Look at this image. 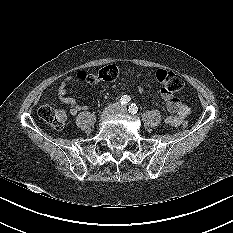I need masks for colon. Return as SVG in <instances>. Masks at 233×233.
<instances>
[{
	"mask_svg": "<svg viewBox=\"0 0 233 233\" xmlns=\"http://www.w3.org/2000/svg\"><path fill=\"white\" fill-rule=\"evenodd\" d=\"M118 76L119 68L115 64L103 66L95 73H78V77L81 80H84L91 85H96L99 82H112L115 81ZM155 78L160 85L161 90L170 94L180 91L184 85L180 75L164 69L157 70ZM38 115L54 129L63 128L67 120L66 112L58 106L42 105L38 109ZM183 126L186 127L187 122H184Z\"/></svg>",
	"mask_w": 233,
	"mask_h": 233,
	"instance_id": "obj_1",
	"label": "colon"
}]
</instances>
